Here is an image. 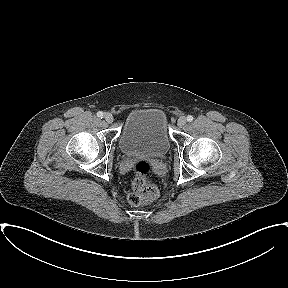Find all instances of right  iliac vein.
<instances>
[{"instance_id": "63e3f726", "label": "right iliac vein", "mask_w": 288, "mask_h": 288, "mask_svg": "<svg viewBox=\"0 0 288 288\" xmlns=\"http://www.w3.org/2000/svg\"><path fill=\"white\" fill-rule=\"evenodd\" d=\"M104 118H105L106 122H108V123H112L113 122V116L110 113H106Z\"/></svg>"}]
</instances>
